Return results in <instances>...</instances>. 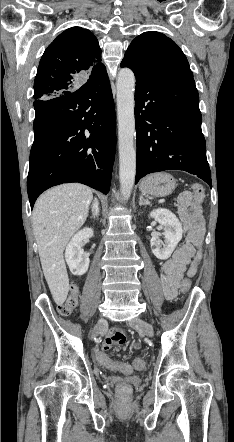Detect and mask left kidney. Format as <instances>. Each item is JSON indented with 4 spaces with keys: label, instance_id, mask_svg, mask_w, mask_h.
<instances>
[{
    "label": "left kidney",
    "instance_id": "1",
    "mask_svg": "<svg viewBox=\"0 0 234 442\" xmlns=\"http://www.w3.org/2000/svg\"><path fill=\"white\" fill-rule=\"evenodd\" d=\"M150 217L163 228L164 242L158 236L152 237L150 244L153 254L160 260L168 259L182 239V226L170 210L159 208L150 212Z\"/></svg>",
    "mask_w": 234,
    "mask_h": 442
}]
</instances>
